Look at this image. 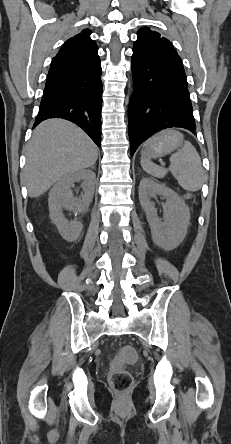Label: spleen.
Segmentation results:
<instances>
[{
    "label": "spleen",
    "instance_id": "3e777b00",
    "mask_svg": "<svg viewBox=\"0 0 231 444\" xmlns=\"http://www.w3.org/2000/svg\"><path fill=\"white\" fill-rule=\"evenodd\" d=\"M170 162V167L165 169L154 164L149 157H141L143 170L154 177L163 178L170 171L184 190L198 191L202 187L204 170L201 158L190 142L185 141L183 147L171 155Z\"/></svg>",
    "mask_w": 231,
    "mask_h": 444
}]
</instances>
